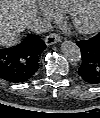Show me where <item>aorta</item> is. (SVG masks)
I'll return each mask as SVG.
<instances>
[{"label":"aorta","mask_w":100,"mask_h":118,"mask_svg":"<svg viewBox=\"0 0 100 118\" xmlns=\"http://www.w3.org/2000/svg\"><path fill=\"white\" fill-rule=\"evenodd\" d=\"M61 51L63 55L72 62L81 60V50L78 45L72 41H64L61 44Z\"/></svg>","instance_id":"obj_1"}]
</instances>
